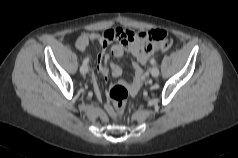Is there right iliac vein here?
<instances>
[{
  "mask_svg": "<svg viewBox=\"0 0 238 158\" xmlns=\"http://www.w3.org/2000/svg\"><path fill=\"white\" fill-rule=\"evenodd\" d=\"M88 70H89V67H88L87 64H82V65H81V67H80V72H81L82 74H86V73L88 72Z\"/></svg>",
  "mask_w": 238,
  "mask_h": 158,
  "instance_id": "1",
  "label": "right iliac vein"
}]
</instances>
